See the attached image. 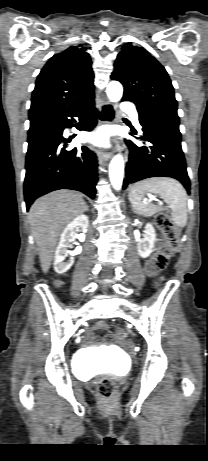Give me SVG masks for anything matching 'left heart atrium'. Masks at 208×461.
<instances>
[{
  "label": "left heart atrium",
  "instance_id": "obj_1",
  "mask_svg": "<svg viewBox=\"0 0 208 461\" xmlns=\"http://www.w3.org/2000/svg\"><path fill=\"white\" fill-rule=\"evenodd\" d=\"M108 132L106 130H100L91 137L94 144L104 146L108 143Z\"/></svg>",
  "mask_w": 208,
  "mask_h": 461
}]
</instances>
